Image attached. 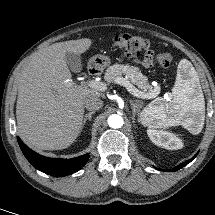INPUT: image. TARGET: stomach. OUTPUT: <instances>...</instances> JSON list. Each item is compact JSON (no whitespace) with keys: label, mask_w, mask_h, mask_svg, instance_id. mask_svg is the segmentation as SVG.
<instances>
[{"label":"stomach","mask_w":215,"mask_h":215,"mask_svg":"<svg viewBox=\"0 0 215 215\" xmlns=\"http://www.w3.org/2000/svg\"><path fill=\"white\" fill-rule=\"evenodd\" d=\"M111 63L110 58L105 55H95L90 59V65L97 70H103ZM142 124L147 125L142 119H140Z\"/></svg>","instance_id":"obj_1"}]
</instances>
